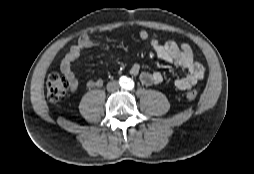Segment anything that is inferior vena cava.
Returning a JSON list of instances; mask_svg holds the SVG:
<instances>
[{"instance_id": "obj_1", "label": "inferior vena cava", "mask_w": 254, "mask_h": 174, "mask_svg": "<svg viewBox=\"0 0 254 174\" xmlns=\"http://www.w3.org/2000/svg\"><path fill=\"white\" fill-rule=\"evenodd\" d=\"M118 89H119V83L116 82V81L109 82V83L107 84V90H108V91L114 92V91H116V90H118Z\"/></svg>"}]
</instances>
